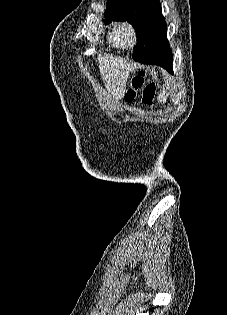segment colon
<instances>
[{"mask_svg":"<svg viewBox=\"0 0 227 315\" xmlns=\"http://www.w3.org/2000/svg\"><path fill=\"white\" fill-rule=\"evenodd\" d=\"M140 90H142L143 103L151 105L155 97L156 85L154 82H146V74L144 71H138L132 75L125 93V98L128 101L134 100L137 92Z\"/></svg>","mask_w":227,"mask_h":315,"instance_id":"1","label":"colon"}]
</instances>
